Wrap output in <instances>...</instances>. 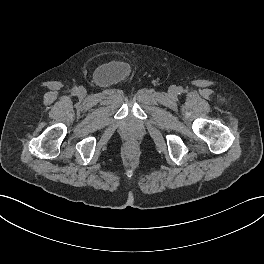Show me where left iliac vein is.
I'll return each mask as SVG.
<instances>
[{
	"label": "left iliac vein",
	"mask_w": 264,
	"mask_h": 264,
	"mask_svg": "<svg viewBox=\"0 0 264 264\" xmlns=\"http://www.w3.org/2000/svg\"><path fill=\"white\" fill-rule=\"evenodd\" d=\"M170 91L171 93H174L176 91L175 87H171Z\"/></svg>",
	"instance_id": "4c4485c4"
}]
</instances>
